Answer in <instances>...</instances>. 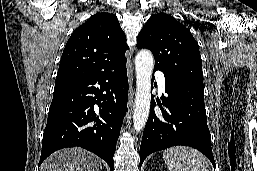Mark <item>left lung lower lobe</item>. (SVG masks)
<instances>
[{
	"mask_svg": "<svg viewBox=\"0 0 257 171\" xmlns=\"http://www.w3.org/2000/svg\"><path fill=\"white\" fill-rule=\"evenodd\" d=\"M156 70L160 69L154 67V71ZM164 75L167 95L162 96V104L165 108L159 105L161 113H155V103L152 100L140 146V166L145 158L155 151L185 145L202 152L215 168L204 91L182 79L165 73Z\"/></svg>",
	"mask_w": 257,
	"mask_h": 171,
	"instance_id": "obj_1",
	"label": "left lung lower lobe"
}]
</instances>
